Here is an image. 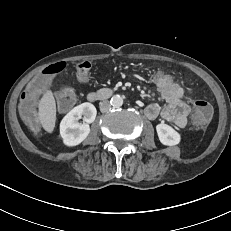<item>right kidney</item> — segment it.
Masks as SVG:
<instances>
[{
    "label": "right kidney",
    "instance_id": "obj_1",
    "mask_svg": "<svg viewBox=\"0 0 231 231\" xmlns=\"http://www.w3.org/2000/svg\"><path fill=\"white\" fill-rule=\"evenodd\" d=\"M97 110L91 103L85 102L74 107L60 123V135L66 146H77L90 133L89 124L94 122ZM83 118V123L79 119Z\"/></svg>",
    "mask_w": 231,
    "mask_h": 231
}]
</instances>
